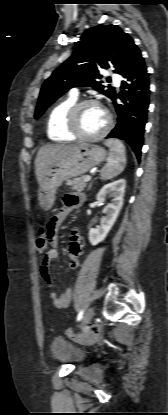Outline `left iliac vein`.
<instances>
[{"label":"left iliac vein","instance_id":"4c4485c4","mask_svg":"<svg viewBox=\"0 0 168 415\" xmlns=\"http://www.w3.org/2000/svg\"><path fill=\"white\" fill-rule=\"evenodd\" d=\"M93 315H94V308L93 307H89L87 309V311L85 312L83 318H82L81 327L86 326L91 321Z\"/></svg>","mask_w":168,"mask_h":415}]
</instances>
